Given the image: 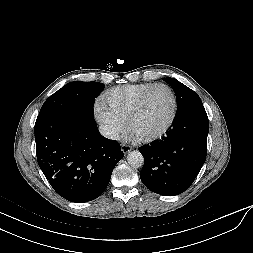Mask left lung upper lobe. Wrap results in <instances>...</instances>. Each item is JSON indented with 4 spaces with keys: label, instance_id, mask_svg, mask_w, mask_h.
Wrapping results in <instances>:
<instances>
[{
    "label": "left lung upper lobe",
    "instance_id": "obj_1",
    "mask_svg": "<svg viewBox=\"0 0 253 253\" xmlns=\"http://www.w3.org/2000/svg\"><path fill=\"white\" fill-rule=\"evenodd\" d=\"M175 91L177 98V113L203 105L196 92L174 78H163Z\"/></svg>",
    "mask_w": 253,
    "mask_h": 253
}]
</instances>
